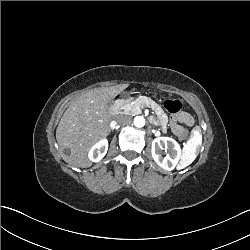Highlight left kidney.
<instances>
[{
    "mask_svg": "<svg viewBox=\"0 0 250 250\" xmlns=\"http://www.w3.org/2000/svg\"><path fill=\"white\" fill-rule=\"evenodd\" d=\"M164 148L170 149V153L165 157L161 154V150ZM152 157L164 170L173 171L182 157V149L175 139L158 137L152 142Z\"/></svg>",
    "mask_w": 250,
    "mask_h": 250,
    "instance_id": "1",
    "label": "left kidney"
}]
</instances>
